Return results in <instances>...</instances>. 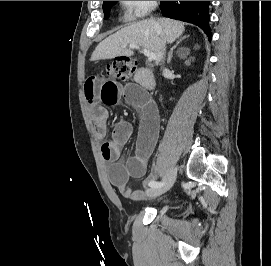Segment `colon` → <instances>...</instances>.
Wrapping results in <instances>:
<instances>
[{"mask_svg":"<svg viewBox=\"0 0 271 266\" xmlns=\"http://www.w3.org/2000/svg\"><path fill=\"white\" fill-rule=\"evenodd\" d=\"M137 63L127 58H117L107 65V72L114 78L127 79L135 71Z\"/></svg>","mask_w":271,"mask_h":266,"instance_id":"obj_1","label":"colon"}]
</instances>
